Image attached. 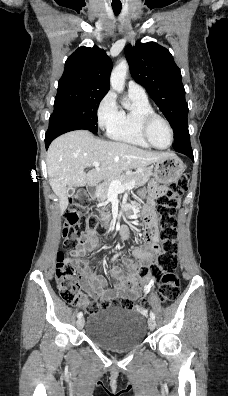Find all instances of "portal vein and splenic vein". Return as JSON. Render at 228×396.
<instances>
[{"label":"portal vein and splenic vein","instance_id":"obj_1","mask_svg":"<svg viewBox=\"0 0 228 396\" xmlns=\"http://www.w3.org/2000/svg\"><path fill=\"white\" fill-rule=\"evenodd\" d=\"M92 166L97 168L100 166V162L95 161L92 163ZM134 187H135L134 181L122 184L119 180H116V179L111 182V186H110L111 191L116 192V193L123 192L125 190H130Z\"/></svg>","mask_w":228,"mask_h":396}]
</instances>
